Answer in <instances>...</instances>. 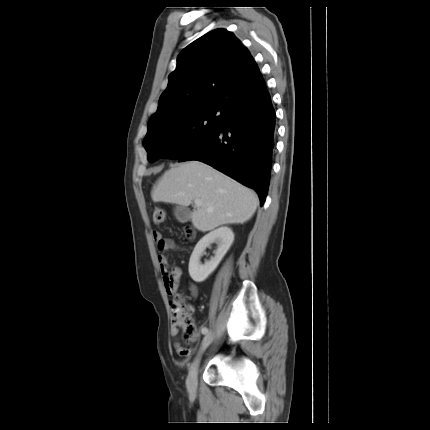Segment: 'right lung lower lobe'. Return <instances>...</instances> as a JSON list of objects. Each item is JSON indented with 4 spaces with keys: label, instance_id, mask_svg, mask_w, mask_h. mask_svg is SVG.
I'll list each match as a JSON object with an SVG mask.
<instances>
[{
    "label": "right lung lower lobe",
    "instance_id": "98d812e1",
    "mask_svg": "<svg viewBox=\"0 0 430 430\" xmlns=\"http://www.w3.org/2000/svg\"><path fill=\"white\" fill-rule=\"evenodd\" d=\"M223 124L179 161L198 160L254 189L263 205L275 147L276 115L264 79L222 107Z\"/></svg>",
    "mask_w": 430,
    "mask_h": 430
}]
</instances>
